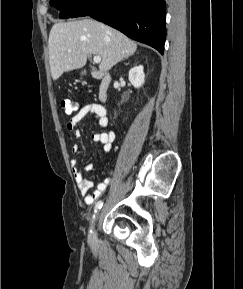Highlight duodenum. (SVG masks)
<instances>
[{"mask_svg": "<svg viewBox=\"0 0 243 289\" xmlns=\"http://www.w3.org/2000/svg\"><path fill=\"white\" fill-rule=\"evenodd\" d=\"M93 76L100 81L98 98L101 102H105L107 99V91L110 84V76L108 73L101 71L94 72Z\"/></svg>", "mask_w": 243, "mask_h": 289, "instance_id": "1", "label": "duodenum"}]
</instances>
